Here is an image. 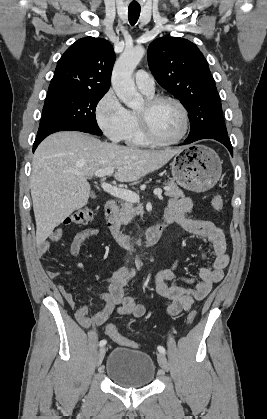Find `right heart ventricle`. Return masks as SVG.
I'll return each instance as SVG.
<instances>
[{
    "instance_id": "right-heart-ventricle-1",
    "label": "right heart ventricle",
    "mask_w": 267,
    "mask_h": 419,
    "mask_svg": "<svg viewBox=\"0 0 267 419\" xmlns=\"http://www.w3.org/2000/svg\"><path fill=\"white\" fill-rule=\"evenodd\" d=\"M149 97L152 95L146 94ZM130 146H147L151 144L143 135L137 118V112L129 111V129L124 138Z\"/></svg>"
}]
</instances>
